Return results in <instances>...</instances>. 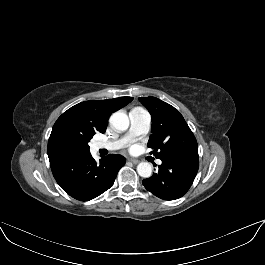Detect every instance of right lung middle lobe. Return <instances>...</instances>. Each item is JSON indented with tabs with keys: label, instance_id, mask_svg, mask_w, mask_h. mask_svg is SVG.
I'll return each instance as SVG.
<instances>
[{
	"label": "right lung middle lobe",
	"instance_id": "1",
	"mask_svg": "<svg viewBox=\"0 0 265 265\" xmlns=\"http://www.w3.org/2000/svg\"><path fill=\"white\" fill-rule=\"evenodd\" d=\"M92 137V134L71 133L64 138V142L69 150L80 156L90 153L88 143Z\"/></svg>",
	"mask_w": 265,
	"mask_h": 265
}]
</instances>
